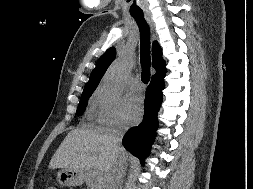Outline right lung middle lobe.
I'll use <instances>...</instances> for the list:
<instances>
[{
	"label": "right lung middle lobe",
	"instance_id": "obj_1",
	"mask_svg": "<svg viewBox=\"0 0 253 189\" xmlns=\"http://www.w3.org/2000/svg\"><path fill=\"white\" fill-rule=\"evenodd\" d=\"M93 92L94 90L83 91L76 114L81 115L84 112L88 103V99L92 95Z\"/></svg>",
	"mask_w": 253,
	"mask_h": 189
}]
</instances>
